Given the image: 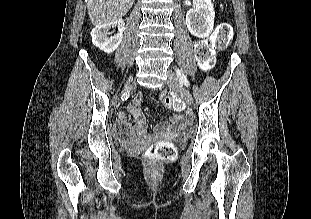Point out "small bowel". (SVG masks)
<instances>
[{
    "label": "small bowel",
    "instance_id": "1",
    "mask_svg": "<svg viewBox=\"0 0 311 219\" xmlns=\"http://www.w3.org/2000/svg\"><path fill=\"white\" fill-rule=\"evenodd\" d=\"M142 101V97L140 94H137L130 104L128 105V109L133 116L134 125L131 130L121 131L120 139L126 141L127 136H131L132 139L130 142H137L139 140L144 139L147 136V121L144 118L143 113L139 109V105ZM120 124H126L125 116L122 115L120 118ZM188 131V123L187 121L180 115H173L170 119V124L168 125H160L156 130L155 134L165 133L168 136H172L175 138H182Z\"/></svg>",
    "mask_w": 311,
    "mask_h": 219
}]
</instances>
